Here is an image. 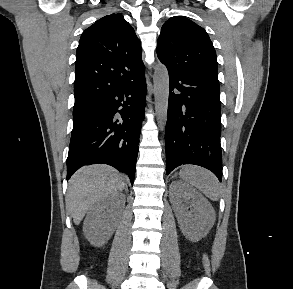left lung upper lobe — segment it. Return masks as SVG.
I'll return each instance as SVG.
<instances>
[{"label": "left lung upper lobe", "instance_id": "1", "mask_svg": "<svg viewBox=\"0 0 293 289\" xmlns=\"http://www.w3.org/2000/svg\"><path fill=\"white\" fill-rule=\"evenodd\" d=\"M159 60L168 72L219 84L216 52L207 32L184 16L164 23L157 44Z\"/></svg>", "mask_w": 293, "mask_h": 289}]
</instances>
